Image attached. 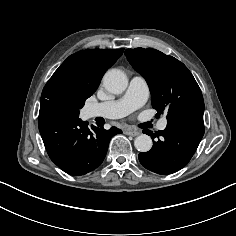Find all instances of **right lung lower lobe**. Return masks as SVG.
<instances>
[{"mask_svg": "<svg viewBox=\"0 0 236 236\" xmlns=\"http://www.w3.org/2000/svg\"><path fill=\"white\" fill-rule=\"evenodd\" d=\"M39 130L50 159L67 174L84 175L104 160L110 139L121 133L92 126L79 115L56 103L41 104Z\"/></svg>", "mask_w": 236, "mask_h": 236, "instance_id": "98d812e1", "label": "right lung lower lobe"}]
</instances>
